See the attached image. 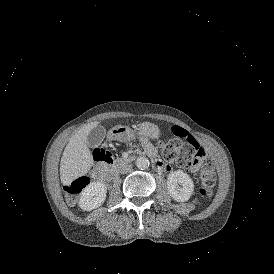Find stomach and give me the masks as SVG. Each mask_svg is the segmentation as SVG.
Instances as JSON below:
<instances>
[{
	"mask_svg": "<svg viewBox=\"0 0 274 274\" xmlns=\"http://www.w3.org/2000/svg\"><path fill=\"white\" fill-rule=\"evenodd\" d=\"M140 133L145 136L156 137L157 130L151 123L140 124ZM132 137L131 129L126 126H116L109 131L108 138L113 140H128Z\"/></svg>",
	"mask_w": 274,
	"mask_h": 274,
	"instance_id": "0dacf381",
	"label": "stomach"
}]
</instances>
